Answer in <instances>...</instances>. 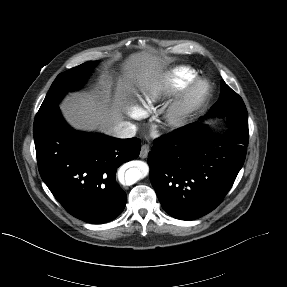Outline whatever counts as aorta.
Returning <instances> with one entry per match:
<instances>
[{
	"label": "aorta",
	"instance_id": "1",
	"mask_svg": "<svg viewBox=\"0 0 287 287\" xmlns=\"http://www.w3.org/2000/svg\"><path fill=\"white\" fill-rule=\"evenodd\" d=\"M143 177V171L138 168H131L125 173L126 184H133Z\"/></svg>",
	"mask_w": 287,
	"mask_h": 287
}]
</instances>
